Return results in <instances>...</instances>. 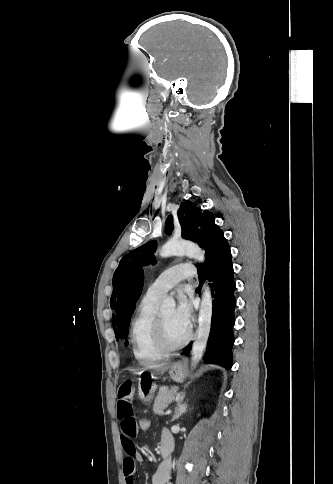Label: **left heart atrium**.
<instances>
[{
	"label": "left heart atrium",
	"instance_id": "obj_1",
	"mask_svg": "<svg viewBox=\"0 0 333 484\" xmlns=\"http://www.w3.org/2000/svg\"><path fill=\"white\" fill-rule=\"evenodd\" d=\"M174 315L177 322L188 331L192 321V304L183 294L178 297Z\"/></svg>",
	"mask_w": 333,
	"mask_h": 484
}]
</instances>
